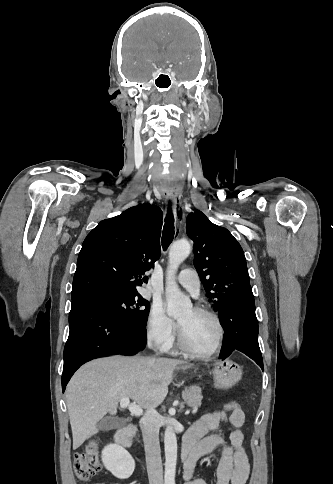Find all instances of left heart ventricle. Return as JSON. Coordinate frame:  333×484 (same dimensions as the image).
I'll use <instances>...</instances> for the list:
<instances>
[{"instance_id": "1", "label": "left heart ventricle", "mask_w": 333, "mask_h": 484, "mask_svg": "<svg viewBox=\"0 0 333 484\" xmlns=\"http://www.w3.org/2000/svg\"><path fill=\"white\" fill-rule=\"evenodd\" d=\"M190 345L199 352L210 351L217 340L218 329L212 318L196 313L193 308L177 317Z\"/></svg>"}]
</instances>
